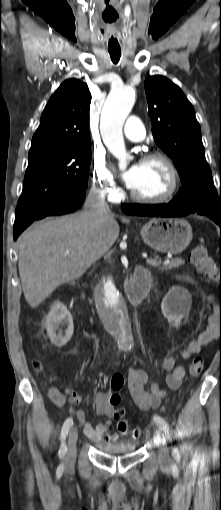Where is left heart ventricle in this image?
<instances>
[{
  "instance_id": "left-heart-ventricle-1",
  "label": "left heart ventricle",
  "mask_w": 221,
  "mask_h": 510,
  "mask_svg": "<svg viewBox=\"0 0 221 510\" xmlns=\"http://www.w3.org/2000/svg\"><path fill=\"white\" fill-rule=\"evenodd\" d=\"M170 184L169 171L159 160L140 162L138 179L132 190L141 196L156 197L164 194Z\"/></svg>"
}]
</instances>
